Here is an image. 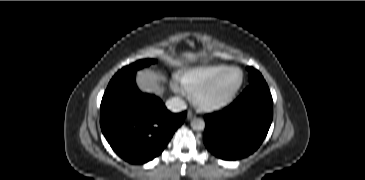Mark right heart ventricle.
I'll return each instance as SVG.
<instances>
[{
  "instance_id": "1",
  "label": "right heart ventricle",
  "mask_w": 365,
  "mask_h": 180,
  "mask_svg": "<svg viewBox=\"0 0 365 180\" xmlns=\"http://www.w3.org/2000/svg\"><path fill=\"white\" fill-rule=\"evenodd\" d=\"M226 67L227 65L225 64L198 66L181 71L177 78L184 92L191 95L198 87L203 85L210 78Z\"/></svg>"
}]
</instances>
